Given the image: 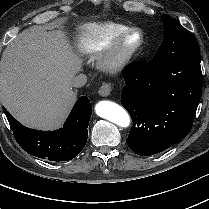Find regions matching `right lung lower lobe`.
Masks as SVG:
<instances>
[{"instance_id":"right-lung-lower-lobe-1","label":"right lung lower lobe","mask_w":209,"mask_h":209,"mask_svg":"<svg viewBox=\"0 0 209 209\" xmlns=\"http://www.w3.org/2000/svg\"><path fill=\"white\" fill-rule=\"evenodd\" d=\"M2 108L16 141L33 156L50 161H68L76 157L87 142L92 106L86 96L76 101L63 128L54 131L29 129Z\"/></svg>"}]
</instances>
